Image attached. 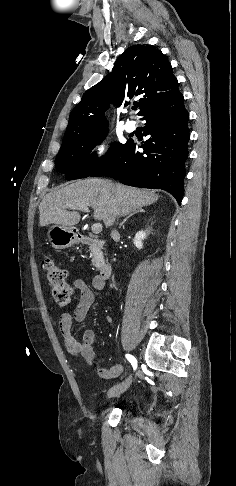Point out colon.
Masks as SVG:
<instances>
[{"instance_id":"5ec220e1","label":"colon","mask_w":236,"mask_h":486,"mask_svg":"<svg viewBox=\"0 0 236 486\" xmlns=\"http://www.w3.org/2000/svg\"><path fill=\"white\" fill-rule=\"evenodd\" d=\"M42 267L45 270L46 279L52 289L56 305L59 307L69 305L73 297V289L66 282V271L50 258L42 261Z\"/></svg>"}]
</instances>
